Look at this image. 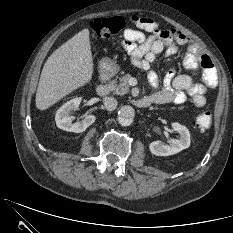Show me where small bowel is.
Here are the masks:
<instances>
[{
  "instance_id": "small-bowel-1",
  "label": "small bowel",
  "mask_w": 233,
  "mask_h": 233,
  "mask_svg": "<svg viewBox=\"0 0 233 233\" xmlns=\"http://www.w3.org/2000/svg\"><path fill=\"white\" fill-rule=\"evenodd\" d=\"M132 20L137 28L124 31L121 45L136 66L150 70L158 55H171L177 45H184L188 49L183 60L185 69L189 72L202 69L203 72V83H199L190 74L176 75L174 70H169L163 79L162 88L149 96L152 103L182 104L189 96L194 106L204 107L207 91L217 84V71L211 58L179 30L161 29L150 18L134 16ZM148 78L152 86L160 85L154 71H149Z\"/></svg>"
}]
</instances>
